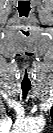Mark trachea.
Returning a JSON list of instances; mask_svg holds the SVG:
<instances>
[{
  "label": "trachea",
  "mask_w": 53,
  "mask_h": 133,
  "mask_svg": "<svg viewBox=\"0 0 53 133\" xmlns=\"http://www.w3.org/2000/svg\"><path fill=\"white\" fill-rule=\"evenodd\" d=\"M30 88H22V91H23V98L25 99L28 92H29Z\"/></svg>",
  "instance_id": "trachea-1"
}]
</instances>
